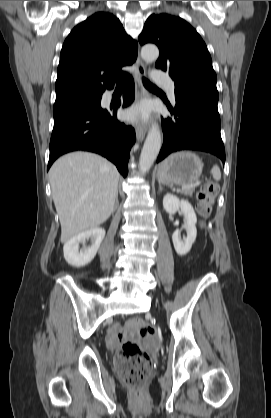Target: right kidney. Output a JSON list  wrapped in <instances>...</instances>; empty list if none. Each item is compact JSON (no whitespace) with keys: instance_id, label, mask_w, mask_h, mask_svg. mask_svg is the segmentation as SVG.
<instances>
[{"instance_id":"right-kidney-1","label":"right kidney","mask_w":271,"mask_h":418,"mask_svg":"<svg viewBox=\"0 0 271 418\" xmlns=\"http://www.w3.org/2000/svg\"><path fill=\"white\" fill-rule=\"evenodd\" d=\"M104 236L105 230L103 228L95 227L71 238L63 247L65 260L68 264L75 267L87 265L96 256ZM88 239L92 241L91 246L83 247L79 250V245Z\"/></svg>"}]
</instances>
